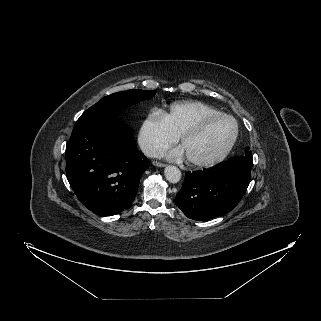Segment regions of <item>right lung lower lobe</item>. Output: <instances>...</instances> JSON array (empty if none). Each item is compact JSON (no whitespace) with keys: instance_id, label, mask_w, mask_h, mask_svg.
<instances>
[{"instance_id":"obj_1","label":"right lung lower lobe","mask_w":321,"mask_h":321,"mask_svg":"<svg viewBox=\"0 0 321 321\" xmlns=\"http://www.w3.org/2000/svg\"><path fill=\"white\" fill-rule=\"evenodd\" d=\"M66 176L78 199L99 216L123 211L149 160L132 131L113 116L75 124L66 145Z\"/></svg>"}]
</instances>
